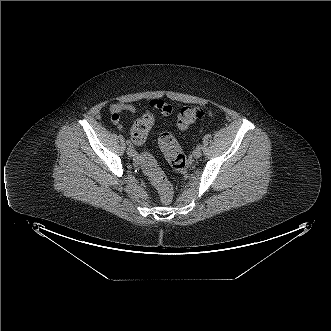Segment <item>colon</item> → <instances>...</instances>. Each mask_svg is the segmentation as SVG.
Instances as JSON below:
<instances>
[{"label": "colon", "instance_id": "5ec220e1", "mask_svg": "<svg viewBox=\"0 0 331 331\" xmlns=\"http://www.w3.org/2000/svg\"><path fill=\"white\" fill-rule=\"evenodd\" d=\"M204 112L196 106H185L177 115V123L180 128H187L202 118ZM154 116L151 113L143 114L137 119L132 128V140L136 144L145 142L153 126ZM160 149L166 156L169 165L176 171L186 169L188 161L176 138L168 132L161 133L158 138ZM141 168L149 178L151 184L157 189L160 201L168 204L173 199V188L165 174L159 168L155 159L147 153L141 155Z\"/></svg>", "mask_w": 331, "mask_h": 331}]
</instances>
